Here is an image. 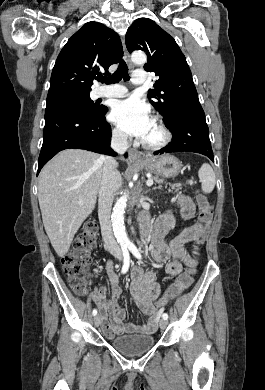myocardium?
<instances>
[{
	"mask_svg": "<svg viewBox=\"0 0 265 390\" xmlns=\"http://www.w3.org/2000/svg\"><path fill=\"white\" fill-rule=\"evenodd\" d=\"M153 121H154V124L156 125V127L159 131V134H160L159 139L155 142H147V141L142 140L141 144L147 150L157 151V150L164 148L165 146H167L169 144V142L171 140V133L161 119L156 117V118H154Z\"/></svg>",
	"mask_w": 265,
	"mask_h": 390,
	"instance_id": "obj_1",
	"label": "myocardium"
}]
</instances>
